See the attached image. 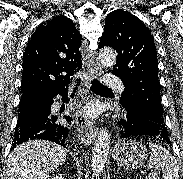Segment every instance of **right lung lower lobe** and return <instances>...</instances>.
<instances>
[{"label": "right lung lower lobe", "mask_w": 183, "mask_h": 179, "mask_svg": "<svg viewBox=\"0 0 183 179\" xmlns=\"http://www.w3.org/2000/svg\"><path fill=\"white\" fill-rule=\"evenodd\" d=\"M58 94L66 96L67 89L41 88L28 96L27 105L18 114L13 148L33 139L49 140L66 147L69 126L59 123V115H54L50 111L54 102L53 97ZM64 118L68 123L71 122L70 117Z\"/></svg>", "instance_id": "right-lung-lower-lobe-1"}]
</instances>
